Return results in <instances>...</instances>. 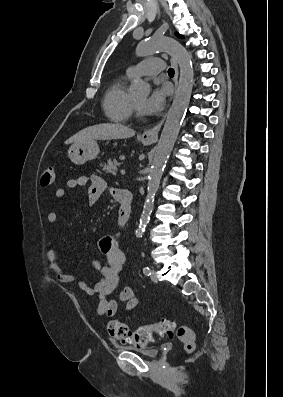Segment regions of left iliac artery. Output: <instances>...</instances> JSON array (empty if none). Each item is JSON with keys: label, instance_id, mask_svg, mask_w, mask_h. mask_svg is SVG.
<instances>
[{"label": "left iliac artery", "instance_id": "1", "mask_svg": "<svg viewBox=\"0 0 283 397\" xmlns=\"http://www.w3.org/2000/svg\"><path fill=\"white\" fill-rule=\"evenodd\" d=\"M143 273L147 276H149L151 274L150 268L148 266L143 268Z\"/></svg>", "mask_w": 283, "mask_h": 397}]
</instances>
